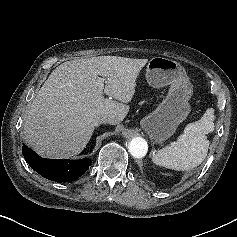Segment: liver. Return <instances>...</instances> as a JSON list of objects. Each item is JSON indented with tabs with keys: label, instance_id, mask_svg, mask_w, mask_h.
Listing matches in <instances>:
<instances>
[{
	"label": "liver",
	"instance_id": "1",
	"mask_svg": "<svg viewBox=\"0 0 237 237\" xmlns=\"http://www.w3.org/2000/svg\"><path fill=\"white\" fill-rule=\"evenodd\" d=\"M148 59L98 56L59 65L33 100L24 122L25 141L41 156L68 158L83 151L97 116L119 124L135 93L136 80ZM98 75L106 79L103 91ZM105 93L110 98H104Z\"/></svg>",
	"mask_w": 237,
	"mask_h": 237
}]
</instances>
